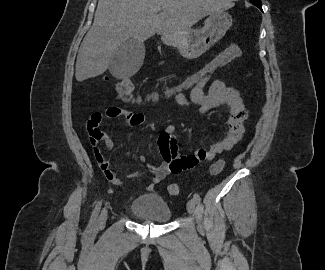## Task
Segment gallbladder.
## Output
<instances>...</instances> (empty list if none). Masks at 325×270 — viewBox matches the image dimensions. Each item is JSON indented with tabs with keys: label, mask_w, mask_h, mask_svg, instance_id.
I'll use <instances>...</instances> for the list:
<instances>
[{
	"label": "gallbladder",
	"mask_w": 325,
	"mask_h": 270,
	"mask_svg": "<svg viewBox=\"0 0 325 270\" xmlns=\"http://www.w3.org/2000/svg\"><path fill=\"white\" fill-rule=\"evenodd\" d=\"M144 56V44L130 38L122 43L113 54L109 71L116 78L131 77L141 67Z\"/></svg>",
	"instance_id": "gallbladder-1"
}]
</instances>
